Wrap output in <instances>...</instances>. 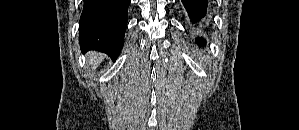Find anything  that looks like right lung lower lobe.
I'll use <instances>...</instances> for the list:
<instances>
[{
  "instance_id": "obj_1",
  "label": "right lung lower lobe",
  "mask_w": 299,
  "mask_h": 130,
  "mask_svg": "<svg viewBox=\"0 0 299 130\" xmlns=\"http://www.w3.org/2000/svg\"><path fill=\"white\" fill-rule=\"evenodd\" d=\"M131 0H85L79 22L82 51L96 50L116 59L124 44Z\"/></svg>"
}]
</instances>
